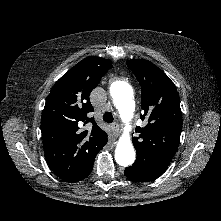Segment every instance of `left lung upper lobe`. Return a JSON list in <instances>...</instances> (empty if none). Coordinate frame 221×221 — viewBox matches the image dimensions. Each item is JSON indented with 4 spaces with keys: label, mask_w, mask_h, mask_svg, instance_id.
Returning a JSON list of instances; mask_svg holds the SVG:
<instances>
[{
    "label": "left lung upper lobe",
    "mask_w": 221,
    "mask_h": 221,
    "mask_svg": "<svg viewBox=\"0 0 221 221\" xmlns=\"http://www.w3.org/2000/svg\"><path fill=\"white\" fill-rule=\"evenodd\" d=\"M127 66L141 86L142 121L133 138L137 158L133 166L144 169L167 168L176 153L182 131L179 94L170 78L148 60H129Z\"/></svg>",
    "instance_id": "obj_1"
}]
</instances>
